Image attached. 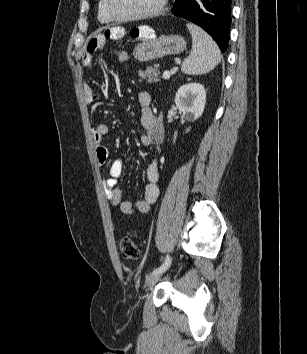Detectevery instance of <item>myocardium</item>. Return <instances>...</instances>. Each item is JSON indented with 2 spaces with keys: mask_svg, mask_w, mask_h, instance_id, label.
<instances>
[{
  "mask_svg": "<svg viewBox=\"0 0 307 354\" xmlns=\"http://www.w3.org/2000/svg\"><path fill=\"white\" fill-rule=\"evenodd\" d=\"M167 2L168 0H159L157 5L153 9L143 13L134 14V15L118 14L113 8L112 0H105V7L107 13L113 20L126 22V21H137V20H144V19L156 17L164 11Z\"/></svg>",
  "mask_w": 307,
  "mask_h": 354,
  "instance_id": "myocardium-1",
  "label": "myocardium"
}]
</instances>
